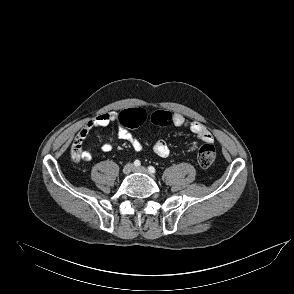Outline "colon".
Instances as JSON below:
<instances>
[{"mask_svg":"<svg viewBox=\"0 0 294 294\" xmlns=\"http://www.w3.org/2000/svg\"><path fill=\"white\" fill-rule=\"evenodd\" d=\"M147 120V113L142 108H129L119 113L120 123L127 128H136L143 125ZM151 122L156 126H166L172 123L173 115L169 111L158 110L150 116ZM83 138L79 134L71 148L72 157L76 160L80 158L81 144ZM216 158V149L212 144H205L200 147L197 154L198 164L202 168L210 167Z\"/></svg>","mask_w":294,"mask_h":294,"instance_id":"colon-1","label":"colon"}]
</instances>
